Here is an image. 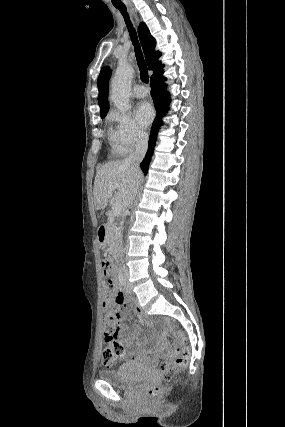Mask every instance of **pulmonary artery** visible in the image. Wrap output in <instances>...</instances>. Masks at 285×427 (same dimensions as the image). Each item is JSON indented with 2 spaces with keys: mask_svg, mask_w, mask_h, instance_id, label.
Wrapping results in <instances>:
<instances>
[{
  "mask_svg": "<svg viewBox=\"0 0 285 427\" xmlns=\"http://www.w3.org/2000/svg\"><path fill=\"white\" fill-rule=\"evenodd\" d=\"M147 89L143 85H138L134 89V96L137 98H143L147 95Z\"/></svg>",
  "mask_w": 285,
  "mask_h": 427,
  "instance_id": "e3ab8cb5",
  "label": "pulmonary artery"
}]
</instances>
